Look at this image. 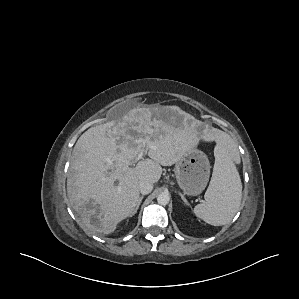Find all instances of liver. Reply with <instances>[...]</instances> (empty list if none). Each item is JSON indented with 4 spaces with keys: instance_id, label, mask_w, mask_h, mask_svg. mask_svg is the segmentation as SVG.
I'll return each mask as SVG.
<instances>
[{
    "instance_id": "1",
    "label": "liver",
    "mask_w": 299,
    "mask_h": 299,
    "mask_svg": "<svg viewBox=\"0 0 299 299\" xmlns=\"http://www.w3.org/2000/svg\"><path fill=\"white\" fill-rule=\"evenodd\" d=\"M171 110L133 108L116 120L89 128L76 142L67 193L73 210L92 233H113L136 208L139 183L158 182L161 165L177 163L194 148V136L172 123ZM223 136L219 131L218 139ZM142 148L149 158L131 167Z\"/></svg>"
}]
</instances>
